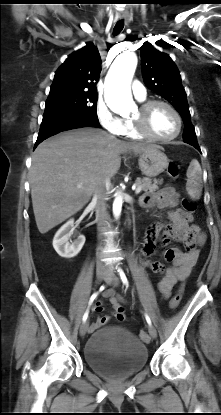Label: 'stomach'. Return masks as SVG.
Wrapping results in <instances>:
<instances>
[{
	"mask_svg": "<svg viewBox=\"0 0 221 415\" xmlns=\"http://www.w3.org/2000/svg\"><path fill=\"white\" fill-rule=\"evenodd\" d=\"M138 164L145 176L156 177L168 167L169 160L160 147L152 146L139 153Z\"/></svg>",
	"mask_w": 221,
	"mask_h": 415,
	"instance_id": "obj_1",
	"label": "stomach"
}]
</instances>
